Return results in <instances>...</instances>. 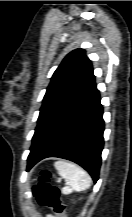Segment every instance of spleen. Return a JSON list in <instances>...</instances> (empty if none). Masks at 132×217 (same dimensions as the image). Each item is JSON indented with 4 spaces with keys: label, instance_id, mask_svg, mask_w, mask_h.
Wrapping results in <instances>:
<instances>
[{
    "label": "spleen",
    "instance_id": "3e777b00",
    "mask_svg": "<svg viewBox=\"0 0 132 217\" xmlns=\"http://www.w3.org/2000/svg\"><path fill=\"white\" fill-rule=\"evenodd\" d=\"M54 166L58 174L67 181V186L62 189L63 194L80 192L90 187L91 178L80 166L63 160L56 161Z\"/></svg>",
    "mask_w": 132,
    "mask_h": 217
}]
</instances>
